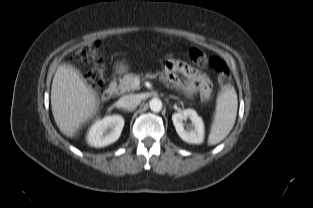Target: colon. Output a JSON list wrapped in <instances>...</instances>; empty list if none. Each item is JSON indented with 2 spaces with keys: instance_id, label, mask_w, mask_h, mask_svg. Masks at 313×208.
I'll list each match as a JSON object with an SVG mask.
<instances>
[{
  "instance_id": "colon-1",
  "label": "colon",
  "mask_w": 313,
  "mask_h": 208,
  "mask_svg": "<svg viewBox=\"0 0 313 208\" xmlns=\"http://www.w3.org/2000/svg\"><path fill=\"white\" fill-rule=\"evenodd\" d=\"M100 47H101L100 42L95 41L89 45L82 47L79 50V56L81 58H84L87 60H93L97 62V65L95 66V68L92 70V72L89 75L91 81L96 86H102L104 83L103 69L99 62ZM189 57L194 63L198 65H204L206 63H209L212 66V68L215 70V72L217 73L219 84L221 85L226 84L230 80L229 68L226 65V63L220 58L214 57V58L209 59L202 51H200L197 48H191L189 50Z\"/></svg>"
}]
</instances>
